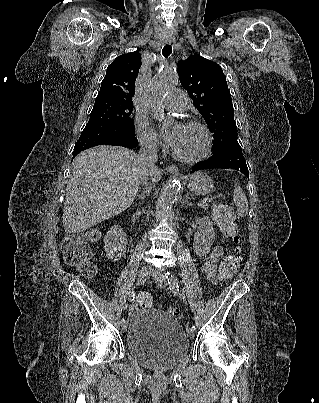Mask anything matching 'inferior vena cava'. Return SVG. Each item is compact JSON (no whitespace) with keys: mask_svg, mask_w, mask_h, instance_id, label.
<instances>
[{"mask_svg":"<svg viewBox=\"0 0 319 403\" xmlns=\"http://www.w3.org/2000/svg\"><path fill=\"white\" fill-rule=\"evenodd\" d=\"M141 149L139 151V157L141 163L147 169V175L142 181V185L145 187H149L147 182V177L151 175V173L156 169L155 163L158 160L157 157V145L156 142L151 139H140Z\"/></svg>","mask_w":319,"mask_h":403,"instance_id":"602c4592","label":"inferior vena cava"}]
</instances>
